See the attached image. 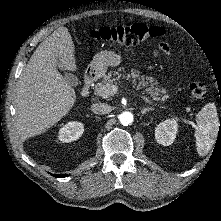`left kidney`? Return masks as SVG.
<instances>
[{
	"instance_id": "5707ae66",
	"label": "left kidney",
	"mask_w": 221,
	"mask_h": 221,
	"mask_svg": "<svg viewBox=\"0 0 221 221\" xmlns=\"http://www.w3.org/2000/svg\"><path fill=\"white\" fill-rule=\"evenodd\" d=\"M177 130V121L175 119H167L157 125L155 129V138L159 144L169 146L174 142Z\"/></svg>"
}]
</instances>
